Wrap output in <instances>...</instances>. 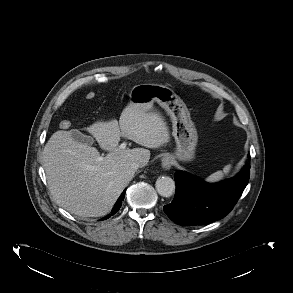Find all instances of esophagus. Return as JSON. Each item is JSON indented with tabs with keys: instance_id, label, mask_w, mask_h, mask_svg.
I'll use <instances>...</instances> for the list:
<instances>
[{
	"instance_id": "34e87169",
	"label": "esophagus",
	"mask_w": 293,
	"mask_h": 293,
	"mask_svg": "<svg viewBox=\"0 0 293 293\" xmlns=\"http://www.w3.org/2000/svg\"><path fill=\"white\" fill-rule=\"evenodd\" d=\"M161 164H162V167L164 169H169L172 165V159L171 157L169 156H164L162 159H161Z\"/></svg>"
}]
</instances>
